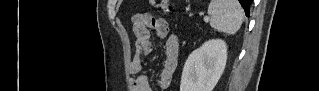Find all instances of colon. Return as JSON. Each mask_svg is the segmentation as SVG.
I'll use <instances>...</instances> for the list:
<instances>
[{
    "mask_svg": "<svg viewBox=\"0 0 319 91\" xmlns=\"http://www.w3.org/2000/svg\"><path fill=\"white\" fill-rule=\"evenodd\" d=\"M151 4L159 9H161L164 13H169L172 10V6L167 0H150Z\"/></svg>",
    "mask_w": 319,
    "mask_h": 91,
    "instance_id": "colon-1",
    "label": "colon"
}]
</instances>
